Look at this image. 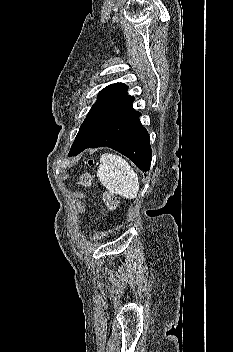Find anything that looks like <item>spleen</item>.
Here are the masks:
<instances>
[{
	"instance_id": "spleen-1",
	"label": "spleen",
	"mask_w": 233,
	"mask_h": 352,
	"mask_svg": "<svg viewBox=\"0 0 233 352\" xmlns=\"http://www.w3.org/2000/svg\"><path fill=\"white\" fill-rule=\"evenodd\" d=\"M97 177L110 192L135 199L139 191L138 175L121 156L105 153L100 158Z\"/></svg>"
}]
</instances>
